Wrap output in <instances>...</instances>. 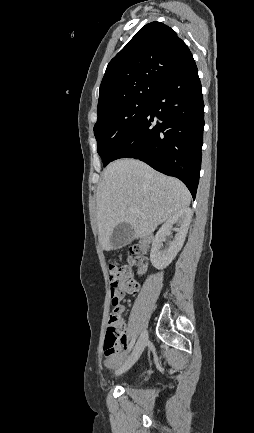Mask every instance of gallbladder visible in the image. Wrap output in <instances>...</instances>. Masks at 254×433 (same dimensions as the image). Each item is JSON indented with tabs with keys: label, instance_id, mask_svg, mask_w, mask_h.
Instances as JSON below:
<instances>
[{
	"label": "gallbladder",
	"instance_id": "bac80fb5",
	"mask_svg": "<svg viewBox=\"0 0 254 433\" xmlns=\"http://www.w3.org/2000/svg\"><path fill=\"white\" fill-rule=\"evenodd\" d=\"M133 237V227L128 223H119L114 227L110 238L113 250L126 246L132 241Z\"/></svg>",
	"mask_w": 254,
	"mask_h": 433
}]
</instances>
